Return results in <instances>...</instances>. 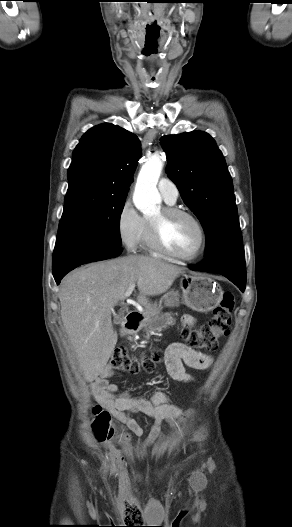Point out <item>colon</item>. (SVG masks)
<instances>
[{
    "label": "colon",
    "mask_w": 292,
    "mask_h": 527,
    "mask_svg": "<svg viewBox=\"0 0 292 527\" xmlns=\"http://www.w3.org/2000/svg\"><path fill=\"white\" fill-rule=\"evenodd\" d=\"M234 295L227 291L223 294L220 304L213 311L209 322L198 329L181 324L179 331L186 343L195 350H214L218 346L221 337L226 336L231 330V314L234 309ZM163 359L160 350H154L148 356L133 357L123 348L115 350L111 358V366L120 371L132 374L140 371L152 372L157 363ZM94 422L93 429L99 442H110L118 437L119 432L112 424L109 412L100 405L93 407ZM130 509L139 514L137 507Z\"/></svg>",
    "instance_id": "colon-1"
}]
</instances>
